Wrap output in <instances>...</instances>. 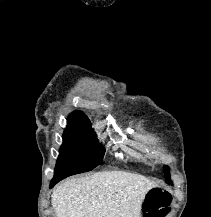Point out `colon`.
<instances>
[{
    "label": "colon",
    "mask_w": 211,
    "mask_h": 217,
    "mask_svg": "<svg viewBox=\"0 0 211 217\" xmlns=\"http://www.w3.org/2000/svg\"><path fill=\"white\" fill-rule=\"evenodd\" d=\"M171 196L160 189H152L144 204V217H164L170 209Z\"/></svg>",
    "instance_id": "obj_1"
}]
</instances>
